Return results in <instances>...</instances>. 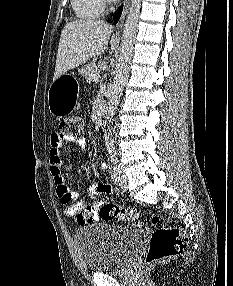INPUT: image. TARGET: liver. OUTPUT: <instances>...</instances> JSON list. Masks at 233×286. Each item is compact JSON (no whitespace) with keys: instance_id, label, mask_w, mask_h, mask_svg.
I'll return each mask as SVG.
<instances>
[{"instance_id":"liver-1","label":"liver","mask_w":233,"mask_h":286,"mask_svg":"<svg viewBox=\"0 0 233 286\" xmlns=\"http://www.w3.org/2000/svg\"><path fill=\"white\" fill-rule=\"evenodd\" d=\"M112 33V25L101 20L87 19L67 23L59 41L54 79L86 63L90 58L101 55ZM110 43L114 47V37Z\"/></svg>"}]
</instances>
